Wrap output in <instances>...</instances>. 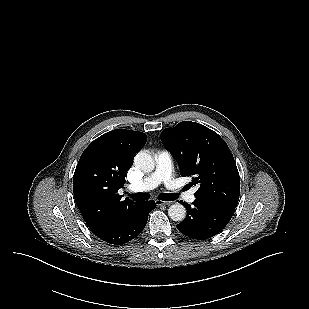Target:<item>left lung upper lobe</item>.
<instances>
[{
    "instance_id": "obj_1",
    "label": "left lung upper lobe",
    "mask_w": 309,
    "mask_h": 309,
    "mask_svg": "<svg viewBox=\"0 0 309 309\" xmlns=\"http://www.w3.org/2000/svg\"><path fill=\"white\" fill-rule=\"evenodd\" d=\"M161 141L177 160L181 175L198 185L196 199L235 209L240 195V178L226 142L213 130L191 121L166 128Z\"/></svg>"
}]
</instances>
